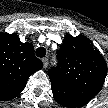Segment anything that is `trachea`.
Instances as JSON below:
<instances>
[{"label":"trachea","mask_w":108,"mask_h":108,"mask_svg":"<svg viewBox=\"0 0 108 108\" xmlns=\"http://www.w3.org/2000/svg\"><path fill=\"white\" fill-rule=\"evenodd\" d=\"M46 55V49L44 47L37 48L36 50V56L39 58H43Z\"/></svg>","instance_id":"obj_1"}]
</instances>
